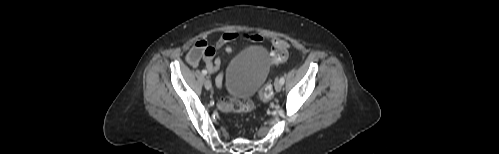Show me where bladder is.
<instances>
[{
    "label": "bladder",
    "mask_w": 499,
    "mask_h": 154,
    "mask_svg": "<svg viewBox=\"0 0 499 154\" xmlns=\"http://www.w3.org/2000/svg\"><path fill=\"white\" fill-rule=\"evenodd\" d=\"M270 67L265 47L253 46L242 50L227 65L223 91L229 98L252 97L266 81Z\"/></svg>",
    "instance_id": "bladder-1"
}]
</instances>
